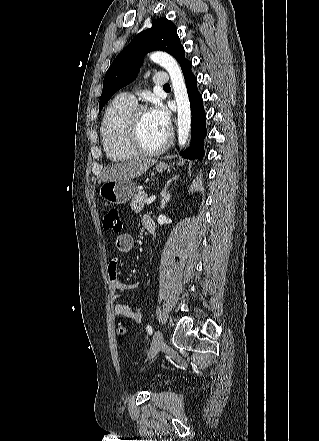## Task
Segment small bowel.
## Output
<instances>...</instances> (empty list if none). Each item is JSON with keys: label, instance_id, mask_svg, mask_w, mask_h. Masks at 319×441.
Segmentation results:
<instances>
[{"label": "small bowel", "instance_id": "small-bowel-1", "mask_svg": "<svg viewBox=\"0 0 319 441\" xmlns=\"http://www.w3.org/2000/svg\"><path fill=\"white\" fill-rule=\"evenodd\" d=\"M143 225L154 224V220L149 216L142 219ZM134 239L130 234H121L116 238V249L121 253H128L134 248ZM109 293L113 302V311L116 316L126 318L134 323H141L143 314L140 308L132 310L127 304L122 302L119 292L133 291L139 288V283H123L117 277V260L112 259L108 264Z\"/></svg>", "mask_w": 319, "mask_h": 441}]
</instances>
